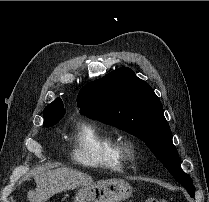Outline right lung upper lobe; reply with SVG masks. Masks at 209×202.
Here are the masks:
<instances>
[{
    "label": "right lung upper lobe",
    "mask_w": 209,
    "mask_h": 202,
    "mask_svg": "<svg viewBox=\"0 0 209 202\" xmlns=\"http://www.w3.org/2000/svg\"><path fill=\"white\" fill-rule=\"evenodd\" d=\"M59 108H64L63 102L62 100L58 97L56 98L51 104H49L45 109L44 112H49L51 110H55V109H59ZM53 122L50 121L49 119L44 118V123L43 125L49 126L50 124H52Z\"/></svg>",
    "instance_id": "cb5924a9"
}]
</instances>
